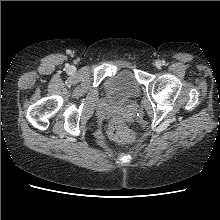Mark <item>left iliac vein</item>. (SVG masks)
<instances>
[{"label":"left iliac vein","instance_id":"obj_1","mask_svg":"<svg viewBox=\"0 0 220 220\" xmlns=\"http://www.w3.org/2000/svg\"><path fill=\"white\" fill-rule=\"evenodd\" d=\"M156 66H157V67H160V66H161V64H160L159 61L156 62Z\"/></svg>","mask_w":220,"mask_h":220}]
</instances>
